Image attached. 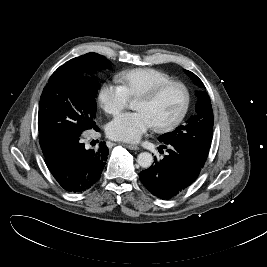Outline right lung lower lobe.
I'll use <instances>...</instances> for the list:
<instances>
[{"instance_id":"right-lung-lower-lobe-1","label":"right lung lower lobe","mask_w":267,"mask_h":267,"mask_svg":"<svg viewBox=\"0 0 267 267\" xmlns=\"http://www.w3.org/2000/svg\"><path fill=\"white\" fill-rule=\"evenodd\" d=\"M108 153L105 142H101L98 149H87L80 136H73L56 146L45 157V162L61 187L76 193L86 191L99 180Z\"/></svg>"}]
</instances>
